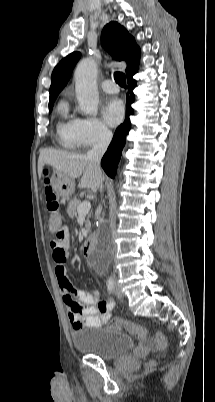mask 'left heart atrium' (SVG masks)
<instances>
[{"label":"left heart atrium","mask_w":215,"mask_h":402,"mask_svg":"<svg viewBox=\"0 0 215 402\" xmlns=\"http://www.w3.org/2000/svg\"><path fill=\"white\" fill-rule=\"evenodd\" d=\"M103 118L105 122L110 126L118 125L124 117V106L119 99H110L104 106Z\"/></svg>","instance_id":"39dd6f15"}]
</instances>
